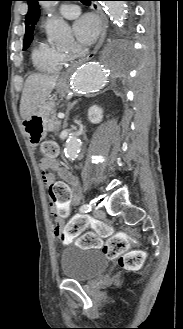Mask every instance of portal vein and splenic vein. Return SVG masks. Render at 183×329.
<instances>
[{
	"mask_svg": "<svg viewBox=\"0 0 183 329\" xmlns=\"http://www.w3.org/2000/svg\"><path fill=\"white\" fill-rule=\"evenodd\" d=\"M64 117H65V115L63 113L58 114V118L63 119Z\"/></svg>",
	"mask_w": 183,
	"mask_h": 329,
	"instance_id": "18ae733b",
	"label": "portal vein and splenic vein"
}]
</instances>
